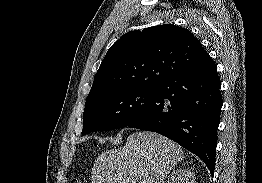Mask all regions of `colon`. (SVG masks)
<instances>
[{"label":"colon","mask_w":262,"mask_h":183,"mask_svg":"<svg viewBox=\"0 0 262 183\" xmlns=\"http://www.w3.org/2000/svg\"><path fill=\"white\" fill-rule=\"evenodd\" d=\"M73 183H85V182L82 181V180L76 179V180L73 181Z\"/></svg>","instance_id":"colon-1"}]
</instances>
